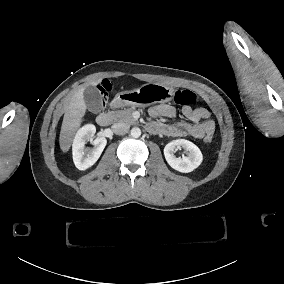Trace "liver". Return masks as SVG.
Returning <instances> with one entry per match:
<instances>
[{"mask_svg":"<svg viewBox=\"0 0 284 284\" xmlns=\"http://www.w3.org/2000/svg\"><path fill=\"white\" fill-rule=\"evenodd\" d=\"M102 81L101 78L97 80H91L88 84L96 86ZM86 86H81L76 92H74L69 98H67L64 104L66 110L61 126L59 143L63 152H67L72 144L74 134L80 126L81 119L86 111V104L84 101V91Z\"/></svg>","mask_w":284,"mask_h":284,"instance_id":"obj_1","label":"liver"}]
</instances>
